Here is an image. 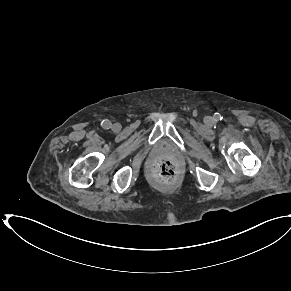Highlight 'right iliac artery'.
<instances>
[{"mask_svg":"<svg viewBox=\"0 0 291 291\" xmlns=\"http://www.w3.org/2000/svg\"><path fill=\"white\" fill-rule=\"evenodd\" d=\"M101 126H102L104 129H109V128H111L112 123H111L109 120H103V121L101 122Z\"/></svg>","mask_w":291,"mask_h":291,"instance_id":"82829eb1","label":"right iliac artery"}]
</instances>
